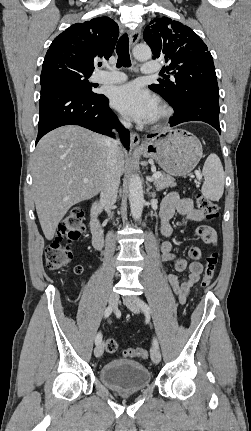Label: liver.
<instances>
[{
  "instance_id": "6515ba94",
  "label": "liver",
  "mask_w": 251,
  "mask_h": 431,
  "mask_svg": "<svg viewBox=\"0 0 251 431\" xmlns=\"http://www.w3.org/2000/svg\"><path fill=\"white\" fill-rule=\"evenodd\" d=\"M107 137L76 125L59 127L45 135L33 156V196L47 240L68 210L99 194L105 184ZM117 165L124 171L119 147ZM88 179V183L83 180Z\"/></svg>"
}]
</instances>
